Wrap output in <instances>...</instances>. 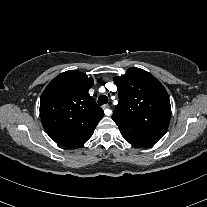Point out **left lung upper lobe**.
<instances>
[{
    "instance_id": "left-lung-upper-lobe-1",
    "label": "left lung upper lobe",
    "mask_w": 207,
    "mask_h": 207,
    "mask_svg": "<svg viewBox=\"0 0 207 207\" xmlns=\"http://www.w3.org/2000/svg\"><path fill=\"white\" fill-rule=\"evenodd\" d=\"M114 82L119 103L112 119L124 139L137 147L155 144L165 134L171 116L168 94L163 85L147 71L132 67Z\"/></svg>"
}]
</instances>
